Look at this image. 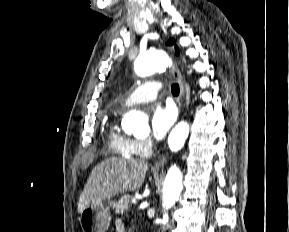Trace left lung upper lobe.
Segmentation results:
<instances>
[{
	"label": "left lung upper lobe",
	"mask_w": 289,
	"mask_h": 232,
	"mask_svg": "<svg viewBox=\"0 0 289 232\" xmlns=\"http://www.w3.org/2000/svg\"><path fill=\"white\" fill-rule=\"evenodd\" d=\"M175 43V41L173 39H170L168 41V45H173ZM176 51H177V54L179 53V50H178V47L176 46Z\"/></svg>",
	"instance_id": "obj_1"
}]
</instances>
